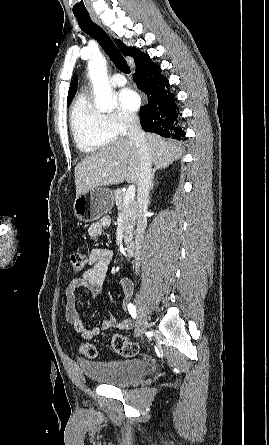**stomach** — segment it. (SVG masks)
Masks as SVG:
<instances>
[{
	"label": "stomach",
	"mask_w": 269,
	"mask_h": 445,
	"mask_svg": "<svg viewBox=\"0 0 269 445\" xmlns=\"http://www.w3.org/2000/svg\"><path fill=\"white\" fill-rule=\"evenodd\" d=\"M114 194L111 190L98 187L89 193L76 197L73 209L75 216L82 222H94L105 216L114 206Z\"/></svg>",
	"instance_id": "obj_1"
}]
</instances>
